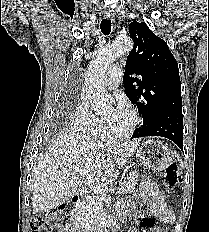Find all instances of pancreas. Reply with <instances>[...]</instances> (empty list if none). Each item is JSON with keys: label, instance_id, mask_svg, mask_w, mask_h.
I'll return each mask as SVG.
<instances>
[{"label": "pancreas", "instance_id": "obj_1", "mask_svg": "<svg viewBox=\"0 0 209 232\" xmlns=\"http://www.w3.org/2000/svg\"><path fill=\"white\" fill-rule=\"evenodd\" d=\"M137 181L138 173H130L121 183L125 189L124 192L126 194L132 192L135 189ZM102 215V200H100L96 195H93L88 198L83 205L74 209L73 218L82 225L95 228Z\"/></svg>", "mask_w": 209, "mask_h": 232}]
</instances>
